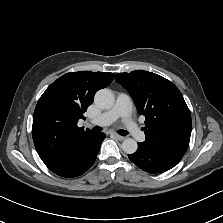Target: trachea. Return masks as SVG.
Wrapping results in <instances>:
<instances>
[{"label": "trachea", "instance_id": "3493384b", "mask_svg": "<svg viewBox=\"0 0 223 223\" xmlns=\"http://www.w3.org/2000/svg\"><path fill=\"white\" fill-rule=\"evenodd\" d=\"M93 131L96 132V133H98V132H101L102 131V128L99 127V126H95L93 128ZM117 133L120 134V135H122V136H126L128 134V131H126V130H117Z\"/></svg>", "mask_w": 223, "mask_h": 223}]
</instances>
